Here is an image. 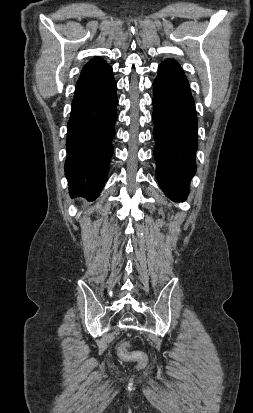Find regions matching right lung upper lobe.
Wrapping results in <instances>:
<instances>
[{"instance_id":"obj_1","label":"right lung upper lobe","mask_w":253,"mask_h":413,"mask_svg":"<svg viewBox=\"0 0 253 413\" xmlns=\"http://www.w3.org/2000/svg\"><path fill=\"white\" fill-rule=\"evenodd\" d=\"M110 66L101 58L90 60L82 69L80 77L76 83V90L85 88L91 85L101 74H103Z\"/></svg>"}]
</instances>
